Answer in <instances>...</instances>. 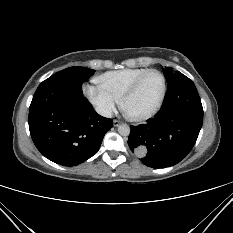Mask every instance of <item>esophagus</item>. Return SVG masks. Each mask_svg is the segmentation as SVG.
<instances>
[{
	"label": "esophagus",
	"instance_id": "1",
	"mask_svg": "<svg viewBox=\"0 0 233 233\" xmlns=\"http://www.w3.org/2000/svg\"><path fill=\"white\" fill-rule=\"evenodd\" d=\"M113 125H114L115 127L119 126V125H120V121L115 119V120L113 121Z\"/></svg>",
	"mask_w": 233,
	"mask_h": 233
}]
</instances>
